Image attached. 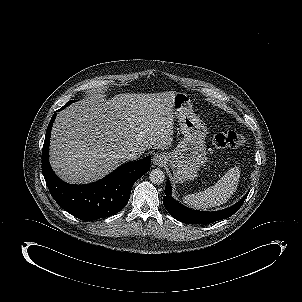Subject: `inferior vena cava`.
I'll return each mask as SVG.
<instances>
[{"instance_id": "602c4592", "label": "inferior vena cava", "mask_w": 302, "mask_h": 302, "mask_svg": "<svg viewBox=\"0 0 302 302\" xmlns=\"http://www.w3.org/2000/svg\"><path fill=\"white\" fill-rule=\"evenodd\" d=\"M143 153L138 151V150H135V149H132L130 151H126L125 153H123L122 155V158H124L125 160H136L138 159Z\"/></svg>"}]
</instances>
